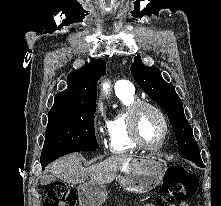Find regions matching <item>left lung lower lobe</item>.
<instances>
[{
    "mask_svg": "<svg viewBox=\"0 0 221 206\" xmlns=\"http://www.w3.org/2000/svg\"><path fill=\"white\" fill-rule=\"evenodd\" d=\"M196 164H197L198 166H203L202 161H201V162H196Z\"/></svg>",
    "mask_w": 221,
    "mask_h": 206,
    "instance_id": "left-lung-lower-lobe-1",
    "label": "left lung lower lobe"
}]
</instances>
